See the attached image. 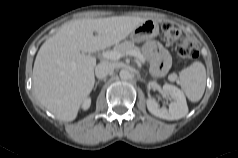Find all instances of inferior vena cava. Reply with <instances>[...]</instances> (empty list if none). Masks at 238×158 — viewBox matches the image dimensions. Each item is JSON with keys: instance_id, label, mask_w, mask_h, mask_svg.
Returning <instances> with one entry per match:
<instances>
[{"instance_id": "602c4592", "label": "inferior vena cava", "mask_w": 238, "mask_h": 158, "mask_svg": "<svg viewBox=\"0 0 238 158\" xmlns=\"http://www.w3.org/2000/svg\"><path fill=\"white\" fill-rule=\"evenodd\" d=\"M113 70V67L111 64L102 62L99 63L95 68V74L98 79H103L106 76H108Z\"/></svg>"}]
</instances>
